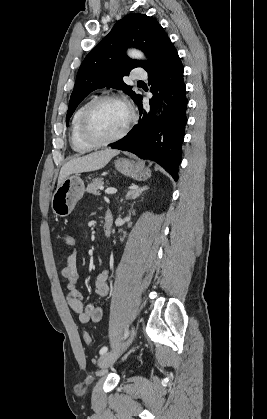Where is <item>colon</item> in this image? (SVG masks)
Listing matches in <instances>:
<instances>
[{
	"mask_svg": "<svg viewBox=\"0 0 267 419\" xmlns=\"http://www.w3.org/2000/svg\"><path fill=\"white\" fill-rule=\"evenodd\" d=\"M63 243L66 247L71 248L75 245V237L72 234L67 233L63 236ZM82 336L86 344L91 342V338L88 332H84Z\"/></svg>",
	"mask_w": 267,
	"mask_h": 419,
	"instance_id": "1",
	"label": "colon"
}]
</instances>
